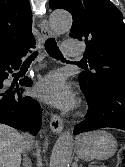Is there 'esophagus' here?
Masks as SVG:
<instances>
[{"mask_svg": "<svg viewBox=\"0 0 125 167\" xmlns=\"http://www.w3.org/2000/svg\"><path fill=\"white\" fill-rule=\"evenodd\" d=\"M40 31H41V33L43 35V38L45 40L55 37V33L52 30V28L50 27L46 15L41 17ZM50 128L53 131V133H55L57 135L62 132V130H63V121L60 118V116H58L57 114H53L52 115L51 121H50Z\"/></svg>", "mask_w": 125, "mask_h": 167, "instance_id": "1", "label": "esophagus"}]
</instances>
